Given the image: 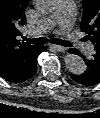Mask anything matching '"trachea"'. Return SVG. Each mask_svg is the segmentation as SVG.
<instances>
[{
    "label": "trachea",
    "mask_w": 100,
    "mask_h": 118,
    "mask_svg": "<svg viewBox=\"0 0 100 118\" xmlns=\"http://www.w3.org/2000/svg\"><path fill=\"white\" fill-rule=\"evenodd\" d=\"M23 40H25L31 44H34V45H43L48 41V39L46 37H40V38H35V39H29V38L23 37ZM50 42L53 44L66 46V47L71 46V43L58 39V38H52V39H50Z\"/></svg>",
    "instance_id": "1"
}]
</instances>
